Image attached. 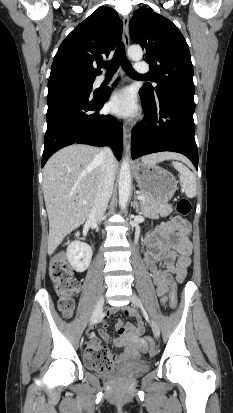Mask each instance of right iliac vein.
<instances>
[{
	"label": "right iliac vein",
	"instance_id": "right-iliac-vein-1",
	"mask_svg": "<svg viewBox=\"0 0 233 413\" xmlns=\"http://www.w3.org/2000/svg\"><path fill=\"white\" fill-rule=\"evenodd\" d=\"M103 304H104V297H100L92 315L90 318V325H92L95 321H97V319L99 318L101 312H102V308H103Z\"/></svg>",
	"mask_w": 233,
	"mask_h": 413
}]
</instances>
